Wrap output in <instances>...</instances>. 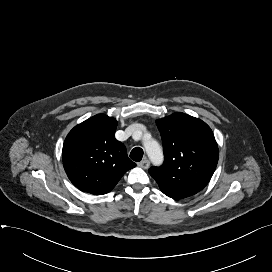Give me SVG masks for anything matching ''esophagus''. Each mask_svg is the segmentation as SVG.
<instances>
[{
  "label": "esophagus",
  "mask_w": 272,
  "mask_h": 272,
  "mask_svg": "<svg viewBox=\"0 0 272 272\" xmlns=\"http://www.w3.org/2000/svg\"><path fill=\"white\" fill-rule=\"evenodd\" d=\"M138 166L143 168V169H148L150 166V162L148 159H144L141 162L138 163Z\"/></svg>",
  "instance_id": "34e87169"
}]
</instances>
